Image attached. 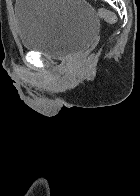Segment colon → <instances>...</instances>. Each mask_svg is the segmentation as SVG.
<instances>
[{
	"label": "colon",
	"mask_w": 140,
	"mask_h": 196,
	"mask_svg": "<svg viewBox=\"0 0 140 196\" xmlns=\"http://www.w3.org/2000/svg\"><path fill=\"white\" fill-rule=\"evenodd\" d=\"M100 16L101 18L108 24H113L116 22V16L113 12L107 10V9H103L101 8L99 10Z\"/></svg>",
	"instance_id": "colon-1"
}]
</instances>
